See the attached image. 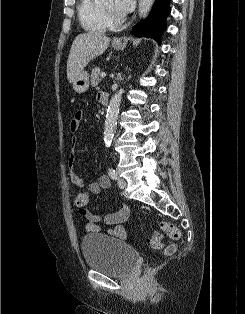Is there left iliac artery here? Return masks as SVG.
Masks as SVG:
<instances>
[{
  "instance_id": "obj_1",
  "label": "left iliac artery",
  "mask_w": 245,
  "mask_h": 314,
  "mask_svg": "<svg viewBox=\"0 0 245 314\" xmlns=\"http://www.w3.org/2000/svg\"><path fill=\"white\" fill-rule=\"evenodd\" d=\"M108 174L109 176L113 179L116 180L117 179V173L115 172V170L113 168H109L108 169Z\"/></svg>"
}]
</instances>
